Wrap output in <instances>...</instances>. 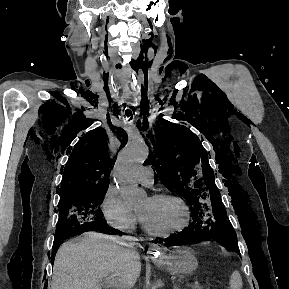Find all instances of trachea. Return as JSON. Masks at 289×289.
<instances>
[{"instance_id":"3493384b","label":"trachea","mask_w":289,"mask_h":289,"mask_svg":"<svg viewBox=\"0 0 289 289\" xmlns=\"http://www.w3.org/2000/svg\"><path fill=\"white\" fill-rule=\"evenodd\" d=\"M126 115H127V117H130L131 116V110H126ZM131 118H132V116H131Z\"/></svg>"}]
</instances>
